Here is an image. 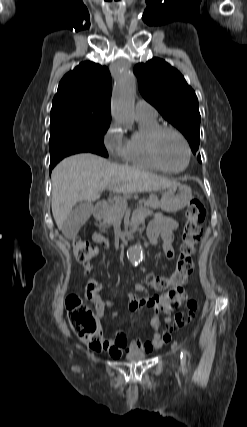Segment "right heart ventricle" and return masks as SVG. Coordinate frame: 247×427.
<instances>
[{
    "instance_id": "1",
    "label": "right heart ventricle",
    "mask_w": 247,
    "mask_h": 427,
    "mask_svg": "<svg viewBox=\"0 0 247 427\" xmlns=\"http://www.w3.org/2000/svg\"><path fill=\"white\" fill-rule=\"evenodd\" d=\"M137 122V131L125 140L123 159L135 166L160 171L149 150L150 136L160 124L156 117L137 118Z\"/></svg>"
}]
</instances>
